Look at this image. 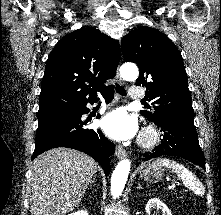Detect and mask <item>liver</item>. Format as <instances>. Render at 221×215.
<instances>
[{
    "mask_svg": "<svg viewBox=\"0 0 221 215\" xmlns=\"http://www.w3.org/2000/svg\"><path fill=\"white\" fill-rule=\"evenodd\" d=\"M97 168L90 156L70 148H53L39 155L31 168V215H65L73 211Z\"/></svg>",
    "mask_w": 221,
    "mask_h": 215,
    "instance_id": "liver-1",
    "label": "liver"
}]
</instances>
